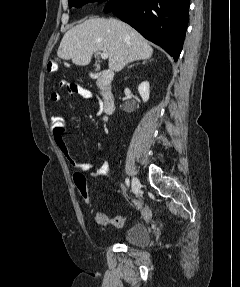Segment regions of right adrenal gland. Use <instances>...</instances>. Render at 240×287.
Listing matches in <instances>:
<instances>
[{
	"label": "right adrenal gland",
	"instance_id": "right-adrenal-gland-1",
	"mask_svg": "<svg viewBox=\"0 0 240 287\" xmlns=\"http://www.w3.org/2000/svg\"><path fill=\"white\" fill-rule=\"evenodd\" d=\"M143 64H145L146 62L144 61V62H142ZM133 65H131L130 67H132Z\"/></svg>",
	"mask_w": 240,
	"mask_h": 287
}]
</instances>
